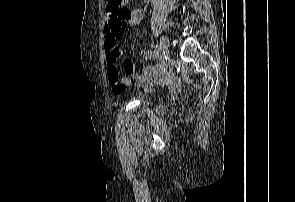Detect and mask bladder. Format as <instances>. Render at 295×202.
I'll return each instance as SVG.
<instances>
[{
	"label": "bladder",
	"mask_w": 295,
	"mask_h": 202,
	"mask_svg": "<svg viewBox=\"0 0 295 202\" xmlns=\"http://www.w3.org/2000/svg\"><path fill=\"white\" fill-rule=\"evenodd\" d=\"M152 112L155 114V115H162L163 114V109L162 107L160 106H155L152 110Z\"/></svg>",
	"instance_id": "bladder-1"
}]
</instances>
